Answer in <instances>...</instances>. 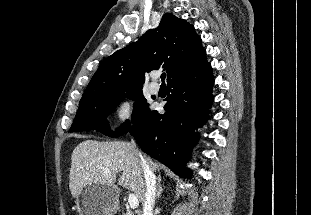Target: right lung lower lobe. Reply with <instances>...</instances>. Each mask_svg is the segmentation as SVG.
Listing matches in <instances>:
<instances>
[{
  "label": "right lung lower lobe",
  "mask_w": 311,
  "mask_h": 215,
  "mask_svg": "<svg viewBox=\"0 0 311 215\" xmlns=\"http://www.w3.org/2000/svg\"><path fill=\"white\" fill-rule=\"evenodd\" d=\"M212 68L205 61L199 68L168 82L165 113L149 111L128 132L140 148L181 177H190L186 163L198 141L194 130L208 118L213 101Z\"/></svg>",
  "instance_id": "1"
}]
</instances>
